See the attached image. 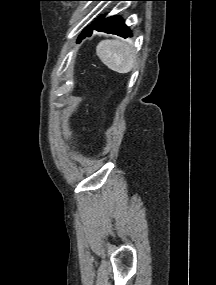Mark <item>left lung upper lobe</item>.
<instances>
[{"instance_id": "left-lung-upper-lobe-1", "label": "left lung upper lobe", "mask_w": 216, "mask_h": 285, "mask_svg": "<svg viewBox=\"0 0 216 285\" xmlns=\"http://www.w3.org/2000/svg\"><path fill=\"white\" fill-rule=\"evenodd\" d=\"M111 1H118V0H111ZM88 27H89V26H88ZM88 27H87V28H88Z\"/></svg>"}]
</instances>
